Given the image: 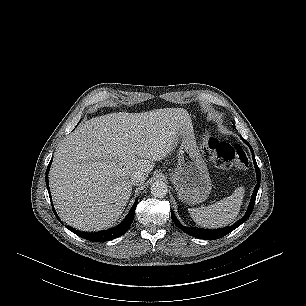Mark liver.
Instances as JSON below:
<instances>
[{"instance_id":"6515ba94","label":"liver","mask_w":306,"mask_h":306,"mask_svg":"<svg viewBox=\"0 0 306 306\" xmlns=\"http://www.w3.org/2000/svg\"><path fill=\"white\" fill-rule=\"evenodd\" d=\"M191 125L183 108L112 113L80 124L59 143L50 169L61 219L81 231L111 227L131 196V173L147 177Z\"/></svg>"}]
</instances>
